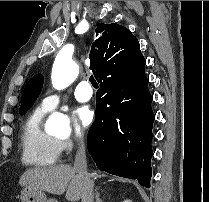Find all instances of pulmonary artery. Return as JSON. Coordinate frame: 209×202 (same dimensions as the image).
I'll use <instances>...</instances> for the list:
<instances>
[{
	"instance_id": "1",
	"label": "pulmonary artery",
	"mask_w": 209,
	"mask_h": 202,
	"mask_svg": "<svg viewBox=\"0 0 209 202\" xmlns=\"http://www.w3.org/2000/svg\"><path fill=\"white\" fill-rule=\"evenodd\" d=\"M74 95L79 102H87L93 95V89L86 81H82L76 86ZM60 102L61 96L58 93H53L42 99L41 108L52 111L60 105Z\"/></svg>"
}]
</instances>
